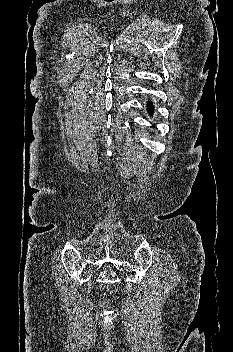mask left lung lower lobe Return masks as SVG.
<instances>
[{
    "mask_svg": "<svg viewBox=\"0 0 233 352\" xmlns=\"http://www.w3.org/2000/svg\"><path fill=\"white\" fill-rule=\"evenodd\" d=\"M148 111H149V113H152V112H153V106H152L151 103H149Z\"/></svg>",
    "mask_w": 233,
    "mask_h": 352,
    "instance_id": "0a47b994",
    "label": "left lung lower lobe"
}]
</instances>
